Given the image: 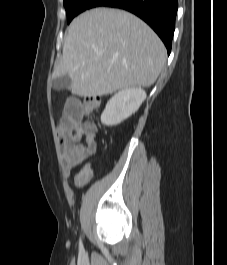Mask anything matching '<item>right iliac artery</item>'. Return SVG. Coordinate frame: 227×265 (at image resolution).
Returning a JSON list of instances; mask_svg holds the SVG:
<instances>
[{"mask_svg": "<svg viewBox=\"0 0 227 265\" xmlns=\"http://www.w3.org/2000/svg\"><path fill=\"white\" fill-rule=\"evenodd\" d=\"M80 247H82V242H81V240H80Z\"/></svg>", "mask_w": 227, "mask_h": 265, "instance_id": "right-iliac-artery-1", "label": "right iliac artery"}]
</instances>
